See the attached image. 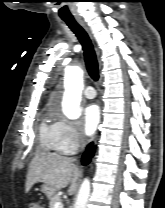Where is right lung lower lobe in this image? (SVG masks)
<instances>
[{"mask_svg":"<svg viewBox=\"0 0 165 208\" xmlns=\"http://www.w3.org/2000/svg\"><path fill=\"white\" fill-rule=\"evenodd\" d=\"M94 149H95V147H94L93 143H90L87 147V151L82 156L83 165H87L90 162V158L94 154Z\"/></svg>","mask_w":165,"mask_h":208,"instance_id":"obj_1","label":"right lung lower lobe"}]
</instances>
